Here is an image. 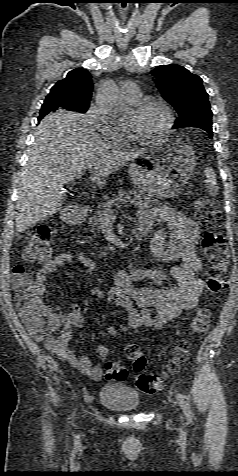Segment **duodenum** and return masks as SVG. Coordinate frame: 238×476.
Returning <instances> with one entry per match:
<instances>
[{
    "mask_svg": "<svg viewBox=\"0 0 238 476\" xmlns=\"http://www.w3.org/2000/svg\"><path fill=\"white\" fill-rule=\"evenodd\" d=\"M91 211L87 208H82V209H78V210H73L71 212H68L66 214V221L68 223H71V224H79L83 221H85L89 215H90ZM145 235V232L141 229H137L134 233H133V240L134 241H138V240H141Z\"/></svg>",
    "mask_w": 238,
    "mask_h": 476,
    "instance_id": "1",
    "label": "duodenum"
}]
</instances>
